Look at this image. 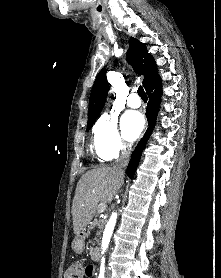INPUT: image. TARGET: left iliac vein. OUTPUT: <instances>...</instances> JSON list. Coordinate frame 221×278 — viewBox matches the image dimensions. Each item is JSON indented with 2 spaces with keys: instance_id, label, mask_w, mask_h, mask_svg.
<instances>
[{
  "instance_id": "4c4485c4",
  "label": "left iliac vein",
  "mask_w": 221,
  "mask_h": 278,
  "mask_svg": "<svg viewBox=\"0 0 221 278\" xmlns=\"http://www.w3.org/2000/svg\"><path fill=\"white\" fill-rule=\"evenodd\" d=\"M106 278H110V276L109 275H107V277Z\"/></svg>"
}]
</instances>
